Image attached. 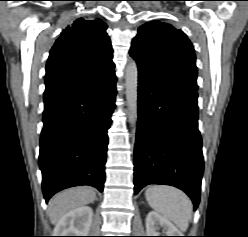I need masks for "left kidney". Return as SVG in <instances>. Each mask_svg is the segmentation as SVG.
<instances>
[{"label":"left kidney","mask_w":248,"mask_h":237,"mask_svg":"<svg viewBox=\"0 0 248 237\" xmlns=\"http://www.w3.org/2000/svg\"><path fill=\"white\" fill-rule=\"evenodd\" d=\"M162 229V234L159 230ZM147 236H182L181 232L157 212H149L146 217Z\"/></svg>","instance_id":"5707ae66"}]
</instances>
